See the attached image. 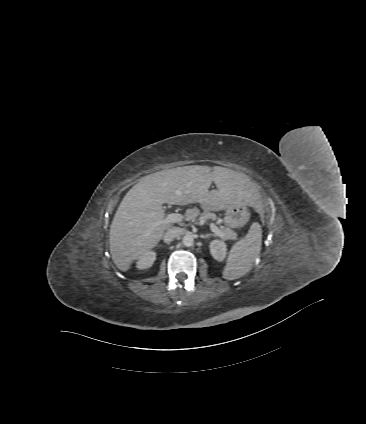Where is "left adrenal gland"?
I'll use <instances>...</instances> for the list:
<instances>
[{"instance_id":"1","label":"left adrenal gland","mask_w":366,"mask_h":424,"mask_svg":"<svg viewBox=\"0 0 366 424\" xmlns=\"http://www.w3.org/2000/svg\"><path fill=\"white\" fill-rule=\"evenodd\" d=\"M210 237H216V234L210 233V234H206L204 236H202L203 239H209Z\"/></svg>"}]
</instances>
